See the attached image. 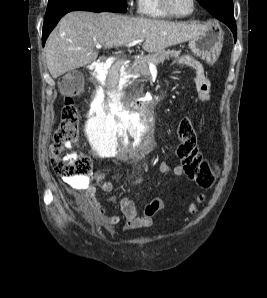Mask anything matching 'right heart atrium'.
Masks as SVG:
<instances>
[{"label": "right heart atrium", "mask_w": 267, "mask_h": 298, "mask_svg": "<svg viewBox=\"0 0 267 298\" xmlns=\"http://www.w3.org/2000/svg\"><path fill=\"white\" fill-rule=\"evenodd\" d=\"M127 7H128L129 11H133V9H134L133 0H128L127 1Z\"/></svg>", "instance_id": "obj_1"}]
</instances>
